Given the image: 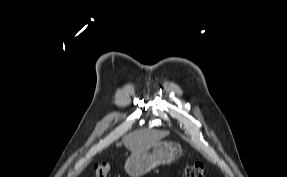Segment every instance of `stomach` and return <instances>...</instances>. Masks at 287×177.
<instances>
[{
	"label": "stomach",
	"mask_w": 287,
	"mask_h": 177,
	"mask_svg": "<svg viewBox=\"0 0 287 177\" xmlns=\"http://www.w3.org/2000/svg\"><path fill=\"white\" fill-rule=\"evenodd\" d=\"M182 154V148L174 142H157L142 150L134 151L125 162V171L131 177H140L160 164L174 162Z\"/></svg>",
	"instance_id": "stomach-1"
}]
</instances>
